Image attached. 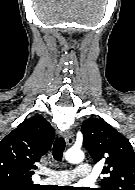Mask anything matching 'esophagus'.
<instances>
[{"mask_svg":"<svg viewBox=\"0 0 135 190\" xmlns=\"http://www.w3.org/2000/svg\"><path fill=\"white\" fill-rule=\"evenodd\" d=\"M64 137L67 145L71 146L74 142V134L72 133V131L70 130L66 131Z\"/></svg>","mask_w":135,"mask_h":190,"instance_id":"34e87169","label":"esophagus"}]
</instances>
